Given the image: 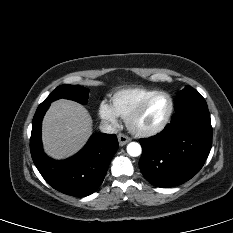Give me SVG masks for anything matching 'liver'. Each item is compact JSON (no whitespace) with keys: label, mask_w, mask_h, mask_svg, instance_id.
<instances>
[{"label":"liver","mask_w":233,"mask_h":233,"mask_svg":"<svg viewBox=\"0 0 233 233\" xmlns=\"http://www.w3.org/2000/svg\"><path fill=\"white\" fill-rule=\"evenodd\" d=\"M91 134V116L77 102L65 99L55 101L44 116V150L54 159H64L78 152Z\"/></svg>","instance_id":"liver-1"}]
</instances>
